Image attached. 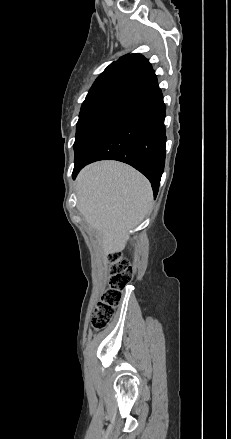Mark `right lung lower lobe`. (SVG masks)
<instances>
[{
  "mask_svg": "<svg viewBox=\"0 0 231 439\" xmlns=\"http://www.w3.org/2000/svg\"><path fill=\"white\" fill-rule=\"evenodd\" d=\"M135 98L141 114L102 134L85 155L75 161L73 178L91 162L118 160L144 174L156 197L165 164V105L157 83L136 94Z\"/></svg>",
  "mask_w": 231,
  "mask_h": 439,
  "instance_id": "98d812e1",
  "label": "right lung lower lobe"
}]
</instances>
